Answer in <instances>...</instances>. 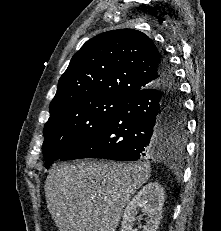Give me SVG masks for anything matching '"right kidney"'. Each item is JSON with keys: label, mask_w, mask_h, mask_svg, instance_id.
I'll use <instances>...</instances> for the list:
<instances>
[{"label": "right kidney", "mask_w": 221, "mask_h": 231, "mask_svg": "<svg viewBox=\"0 0 221 231\" xmlns=\"http://www.w3.org/2000/svg\"><path fill=\"white\" fill-rule=\"evenodd\" d=\"M164 201V190L158 182L145 185L125 208L121 231H137L133 226L136 219H141L137 217L139 210L147 215L146 224L139 228L143 231H156L162 219Z\"/></svg>", "instance_id": "obj_1"}]
</instances>
